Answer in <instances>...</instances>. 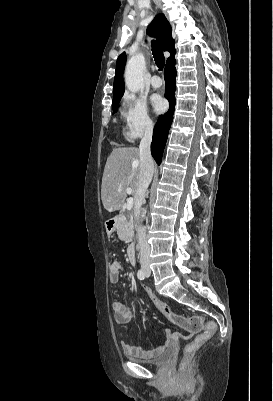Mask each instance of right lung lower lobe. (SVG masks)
Masks as SVG:
<instances>
[{"mask_svg":"<svg viewBox=\"0 0 273 401\" xmlns=\"http://www.w3.org/2000/svg\"><path fill=\"white\" fill-rule=\"evenodd\" d=\"M165 97L170 102L169 110L161 115L153 131V140L151 144V154L158 165L161 164L164 146L167 141L168 132L173 120L174 107H175V90H176V69L175 60L169 62L165 66Z\"/></svg>","mask_w":273,"mask_h":401,"instance_id":"98d812e1","label":"right lung lower lobe"}]
</instances>
